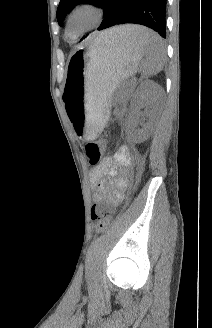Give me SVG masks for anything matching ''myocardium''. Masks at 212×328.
Wrapping results in <instances>:
<instances>
[{
	"label": "myocardium",
	"instance_id": "myocardium-1",
	"mask_svg": "<svg viewBox=\"0 0 212 328\" xmlns=\"http://www.w3.org/2000/svg\"><path fill=\"white\" fill-rule=\"evenodd\" d=\"M80 13H89L92 15V21L89 25L86 27L75 30L73 28L74 20L76 16ZM104 16V10L103 8L96 2L85 0L77 3L73 6V8L69 11L67 16V23H66V32H69L72 34V37H75L82 32H85L89 29H92L96 27L102 20Z\"/></svg>",
	"mask_w": 212,
	"mask_h": 328
}]
</instances>
